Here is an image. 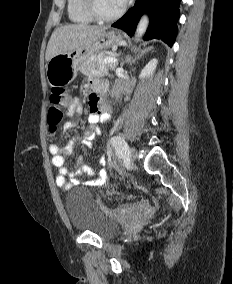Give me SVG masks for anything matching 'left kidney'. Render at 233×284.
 <instances>
[{
  "label": "left kidney",
  "instance_id": "5707ae66",
  "mask_svg": "<svg viewBox=\"0 0 233 284\" xmlns=\"http://www.w3.org/2000/svg\"><path fill=\"white\" fill-rule=\"evenodd\" d=\"M157 63V59H152L151 61H149L148 64L142 69L139 78L143 79L145 77L152 76L157 67Z\"/></svg>",
  "mask_w": 233,
  "mask_h": 284
}]
</instances>
